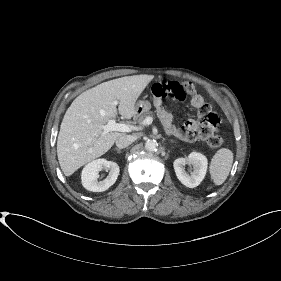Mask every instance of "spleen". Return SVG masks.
<instances>
[{
  "mask_svg": "<svg viewBox=\"0 0 281 281\" xmlns=\"http://www.w3.org/2000/svg\"><path fill=\"white\" fill-rule=\"evenodd\" d=\"M233 164V152L228 148L219 149L213 156L209 172L215 185H221L227 179Z\"/></svg>",
  "mask_w": 281,
  "mask_h": 281,
  "instance_id": "obj_1",
  "label": "spleen"
}]
</instances>
